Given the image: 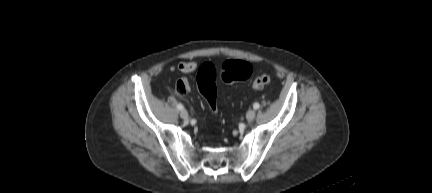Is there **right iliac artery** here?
I'll return each mask as SVG.
<instances>
[{"label":"right iliac artery","mask_w":432,"mask_h":193,"mask_svg":"<svg viewBox=\"0 0 432 193\" xmlns=\"http://www.w3.org/2000/svg\"><path fill=\"white\" fill-rule=\"evenodd\" d=\"M177 108H178L179 110H183V109H184V106H183L182 104H178V105H177Z\"/></svg>","instance_id":"82829eb1"}]
</instances>
